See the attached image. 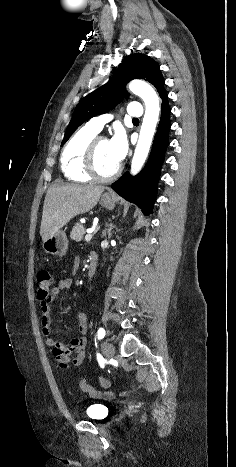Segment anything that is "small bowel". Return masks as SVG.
<instances>
[{"mask_svg": "<svg viewBox=\"0 0 236 467\" xmlns=\"http://www.w3.org/2000/svg\"><path fill=\"white\" fill-rule=\"evenodd\" d=\"M79 264L78 259L74 263V268ZM73 284L71 278L61 280L53 289L50 297L42 301L40 309L42 313L41 323L42 332L46 337V345L51 348L55 361L61 368H69L70 365L78 367L82 365L86 358V333L88 332V318L84 311H79L76 315L77 326L82 334L80 337L70 339L68 344L61 343L58 339L52 336L51 330V303L56 300L61 292L69 290Z\"/></svg>", "mask_w": 236, "mask_h": 467, "instance_id": "obj_1", "label": "small bowel"}]
</instances>
